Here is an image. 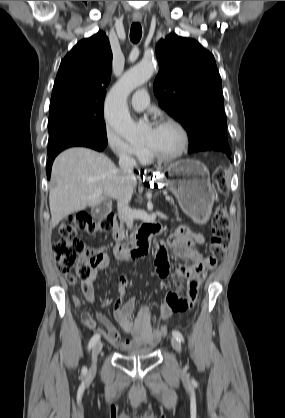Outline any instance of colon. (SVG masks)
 I'll return each instance as SVG.
<instances>
[{"instance_id":"obj_1","label":"colon","mask_w":285,"mask_h":418,"mask_svg":"<svg viewBox=\"0 0 285 418\" xmlns=\"http://www.w3.org/2000/svg\"><path fill=\"white\" fill-rule=\"evenodd\" d=\"M212 182L214 186L225 192L227 185L225 181V173L222 167H218L213 175ZM115 225V217L107 216L96 222L92 217L83 211L76 212L69 218L63 220L60 224L58 234L53 241V250L56 257L57 265L64 275H68L71 269H74L76 275L81 279L90 277L91 272L102 259L99 256L87 258L85 244L79 240L78 234L86 232L95 234L97 232H105L113 229ZM229 216L224 206H218L214 210L212 221V236L209 243L212 257L206 262L205 267L212 270L216 266V258L226 254L229 246ZM180 232H185L181 229ZM156 260L163 261L167 258L166 248L162 243L156 245ZM70 285H74L71 281ZM192 304L188 305V308ZM157 335L162 337L167 333V327L161 326L157 330Z\"/></svg>"}]
</instances>
